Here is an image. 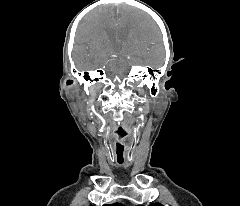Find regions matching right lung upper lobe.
Returning <instances> with one entry per match:
<instances>
[{
  "label": "right lung upper lobe",
  "mask_w": 240,
  "mask_h": 206,
  "mask_svg": "<svg viewBox=\"0 0 240 206\" xmlns=\"http://www.w3.org/2000/svg\"><path fill=\"white\" fill-rule=\"evenodd\" d=\"M104 206H123V205L120 204V203H114V204H111V205H104Z\"/></svg>",
  "instance_id": "cb5924a9"
}]
</instances>
